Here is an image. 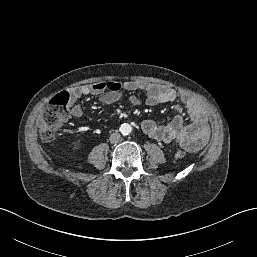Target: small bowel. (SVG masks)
Here are the masks:
<instances>
[{
    "label": "small bowel",
    "mask_w": 257,
    "mask_h": 257,
    "mask_svg": "<svg viewBox=\"0 0 257 257\" xmlns=\"http://www.w3.org/2000/svg\"><path fill=\"white\" fill-rule=\"evenodd\" d=\"M136 90L145 93V103L149 106L174 102L179 98L191 118V122L187 125H184L180 115H176L165 125L146 119L142 123V129L147 136L165 143H177L188 151H197L206 144L210 136V128L207 115L199 103L186 94L178 95L170 87L145 80L124 83L97 82L75 87L70 93V114L78 120L83 119V108L78 103L83 96L97 95L101 104L111 105L120 101L125 91ZM129 102L136 106L142 101L137 96H131Z\"/></svg>",
    "instance_id": "obj_1"
}]
</instances>
